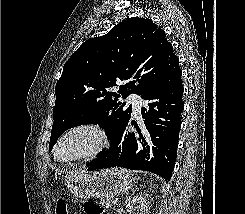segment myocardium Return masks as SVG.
I'll return each mask as SVG.
<instances>
[{"mask_svg":"<svg viewBox=\"0 0 245 214\" xmlns=\"http://www.w3.org/2000/svg\"><path fill=\"white\" fill-rule=\"evenodd\" d=\"M79 131H87L92 133L96 137V144L95 146L87 151L86 153H83L79 156L68 158V159H61L57 155V150L60 145V143L70 134L79 132ZM109 138L107 134L104 132L103 129H101L99 126L91 123H82L75 125L69 129H67L64 133H62L59 138L56 140L52 154L53 157L63 163V164H75L82 161H87L96 158L98 155H100L108 146H109Z\"/></svg>","mask_w":245,"mask_h":214,"instance_id":"f54148a6","label":"myocardium"}]
</instances>
